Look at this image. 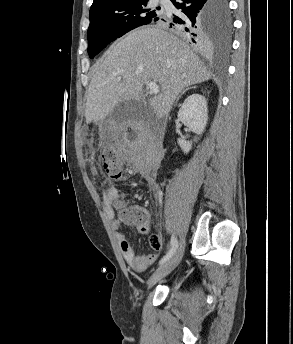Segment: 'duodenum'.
<instances>
[{"label": "duodenum", "mask_w": 293, "mask_h": 344, "mask_svg": "<svg viewBox=\"0 0 293 344\" xmlns=\"http://www.w3.org/2000/svg\"><path fill=\"white\" fill-rule=\"evenodd\" d=\"M153 153H154V157H155L154 159H155V161H157V158L159 157V154H160V148L158 145H156L154 147Z\"/></svg>", "instance_id": "obj_1"}]
</instances>
